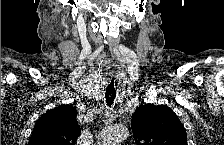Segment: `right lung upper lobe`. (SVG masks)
Instances as JSON below:
<instances>
[{"instance_id": "obj_1", "label": "right lung upper lobe", "mask_w": 224, "mask_h": 145, "mask_svg": "<svg viewBox=\"0 0 224 145\" xmlns=\"http://www.w3.org/2000/svg\"><path fill=\"white\" fill-rule=\"evenodd\" d=\"M72 105L47 111L36 122L29 145H73L81 130Z\"/></svg>"}]
</instances>
